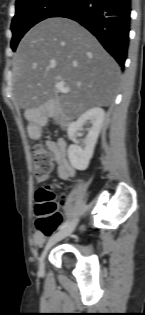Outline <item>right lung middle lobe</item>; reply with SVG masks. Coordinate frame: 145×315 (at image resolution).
<instances>
[{"mask_svg":"<svg viewBox=\"0 0 145 315\" xmlns=\"http://www.w3.org/2000/svg\"><path fill=\"white\" fill-rule=\"evenodd\" d=\"M72 0H19L16 2V14L12 19L13 37L11 48L15 51L24 34L38 22L52 17Z\"/></svg>","mask_w":145,"mask_h":315,"instance_id":"dd1d6c3e","label":"right lung middle lobe"}]
</instances>
